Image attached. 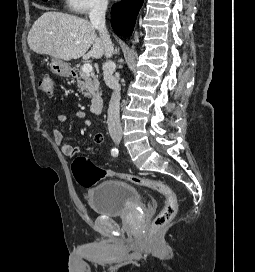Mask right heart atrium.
I'll return each mask as SVG.
<instances>
[{"label": "right heart atrium", "mask_w": 255, "mask_h": 272, "mask_svg": "<svg viewBox=\"0 0 255 272\" xmlns=\"http://www.w3.org/2000/svg\"><path fill=\"white\" fill-rule=\"evenodd\" d=\"M66 8L77 14H87L106 8L107 0H65Z\"/></svg>", "instance_id": "1"}]
</instances>
